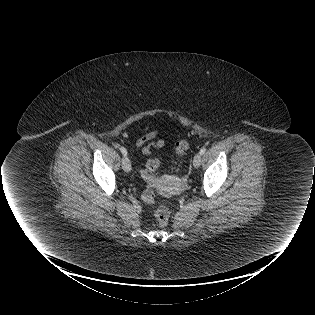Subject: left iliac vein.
Returning <instances> with one entry per match:
<instances>
[{
    "instance_id": "4c4485c4",
    "label": "left iliac vein",
    "mask_w": 315,
    "mask_h": 315,
    "mask_svg": "<svg viewBox=\"0 0 315 315\" xmlns=\"http://www.w3.org/2000/svg\"><path fill=\"white\" fill-rule=\"evenodd\" d=\"M201 159H202V155L200 153H197L195 156H194V159H193V165L195 168H198L201 164Z\"/></svg>"
}]
</instances>
